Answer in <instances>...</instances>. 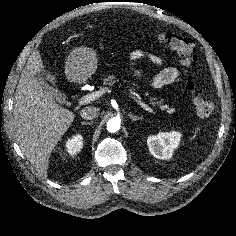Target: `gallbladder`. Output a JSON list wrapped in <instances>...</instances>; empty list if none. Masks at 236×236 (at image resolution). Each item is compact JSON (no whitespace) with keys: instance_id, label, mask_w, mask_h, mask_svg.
I'll list each match as a JSON object with an SVG mask.
<instances>
[{"instance_id":"bac80fb5","label":"gallbladder","mask_w":236,"mask_h":236,"mask_svg":"<svg viewBox=\"0 0 236 236\" xmlns=\"http://www.w3.org/2000/svg\"><path fill=\"white\" fill-rule=\"evenodd\" d=\"M36 77L45 93H47L48 95H51L54 99H56L59 102L63 100L62 93L58 89L50 85L45 80L44 75L42 73H38Z\"/></svg>"}]
</instances>
